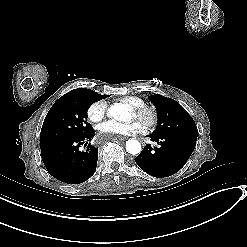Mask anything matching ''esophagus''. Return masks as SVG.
I'll return each mask as SVG.
<instances>
[{
	"label": "esophagus",
	"mask_w": 247,
	"mask_h": 247,
	"mask_svg": "<svg viewBox=\"0 0 247 247\" xmlns=\"http://www.w3.org/2000/svg\"><path fill=\"white\" fill-rule=\"evenodd\" d=\"M124 139H125V138H124ZM138 143L145 144V141H143L141 137H138Z\"/></svg>",
	"instance_id": "34e87169"
}]
</instances>
